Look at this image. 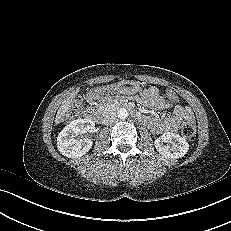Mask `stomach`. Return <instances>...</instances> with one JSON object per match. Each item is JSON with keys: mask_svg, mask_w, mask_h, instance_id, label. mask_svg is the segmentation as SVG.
I'll use <instances>...</instances> for the list:
<instances>
[{"mask_svg": "<svg viewBox=\"0 0 231 231\" xmlns=\"http://www.w3.org/2000/svg\"><path fill=\"white\" fill-rule=\"evenodd\" d=\"M116 89L119 93L135 94L140 91L141 87L136 81L124 80L118 83Z\"/></svg>", "mask_w": 231, "mask_h": 231, "instance_id": "1", "label": "stomach"}]
</instances>
